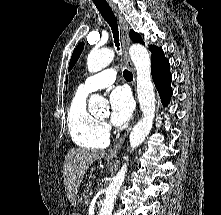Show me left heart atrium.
Returning a JSON list of instances; mask_svg holds the SVG:
<instances>
[{
  "label": "left heart atrium",
  "instance_id": "left-heart-atrium-1",
  "mask_svg": "<svg viewBox=\"0 0 221 215\" xmlns=\"http://www.w3.org/2000/svg\"><path fill=\"white\" fill-rule=\"evenodd\" d=\"M110 121L115 126L124 125L133 112V100L125 87H117L110 94Z\"/></svg>",
  "mask_w": 221,
  "mask_h": 215
}]
</instances>
